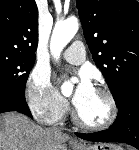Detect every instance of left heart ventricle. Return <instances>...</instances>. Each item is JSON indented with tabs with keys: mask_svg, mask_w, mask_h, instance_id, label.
Listing matches in <instances>:
<instances>
[{
	"mask_svg": "<svg viewBox=\"0 0 139 150\" xmlns=\"http://www.w3.org/2000/svg\"><path fill=\"white\" fill-rule=\"evenodd\" d=\"M75 95V93H74ZM75 105L80 117L89 124H101L109 115V106L106 97L93 89L91 92L81 96Z\"/></svg>",
	"mask_w": 139,
	"mask_h": 150,
	"instance_id": "obj_1",
	"label": "left heart ventricle"
}]
</instances>
